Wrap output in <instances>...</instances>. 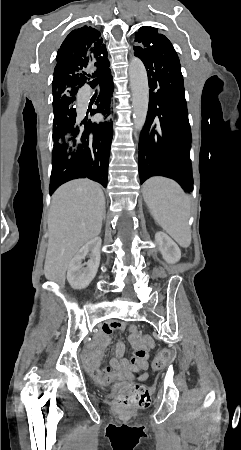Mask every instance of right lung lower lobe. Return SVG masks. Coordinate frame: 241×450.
<instances>
[{
    "label": "right lung lower lobe",
    "mask_w": 241,
    "mask_h": 450,
    "mask_svg": "<svg viewBox=\"0 0 241 450\" xmlns=\"http://www.w3.org/2000/svg\"><path fill=\"white\" fill-rule=\"evenodd\" d=\"M110 63L94 69L90 75L74 77L72 98L78 92V88L86 83L91 87L100 85V94L95 102L97 109L93 113L109 115L111 106V94L114 89ZM76 100V98H75ZM76 122V112L65 114L54 124L53 130L58 134L71 135L72 142L54 141L52 151V172L50 194L63 183L76 178H89L99 182L103 187L107 186L108 161L113 135L112 122L99 124L88 121L84 126Z\"/></svg>",
    "instance_id": "obj_1"
}]
</instances>
